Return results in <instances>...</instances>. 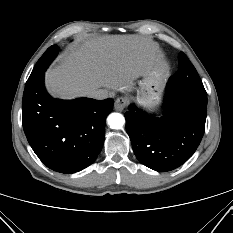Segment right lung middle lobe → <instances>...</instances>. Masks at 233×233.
<instances>
[{"mask_svg": "<svg viewBox=\"0 0 233 233\" xmlns=\"http://www.w3.org/2000/svg\"><path fill=\"white\" fill-rule=\"evenodd\" d=\"M58 47L56 45H52L49 47L46 52L42 55V57L36 63L30 77L28 78L26 83H30L35 80L39 75L45 72L49 64L52 62L54 57L57 55Z\"/></svg>", "mask_w": 233, "mask_h": 233, "instance_id": "1", "label": "right lung middle lobe"}]
</instances>
